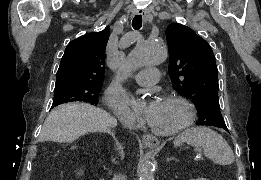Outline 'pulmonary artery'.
Here are the masks:
<instances>
[{
	"label": "pulmonary artery",
	"mask_w": 261,
	"mask_h": 180,
	"mask_svg": "<svg viewBox=\"0 0 261 180\" xmlns=\"http://www.w3.org/2000/svg\"><path fill=\"white\" fill-rule=\"evenodd\" d=\"M163 62V61H162ZM159 78L158 69L142 68L139 73L135 74L133 79L138 83V89H153V84Z\"/></svg>",
	"instance_id": "pulmonary-artery-1"
}]
</instances>
